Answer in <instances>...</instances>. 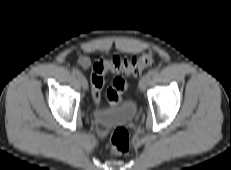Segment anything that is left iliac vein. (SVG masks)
<instances>
[{
  "label": "left iliac vein",
  "mask_w": 231,
  "mask_h": 170,
  "mask_svg": "<svg viewBox=\"0 0 231 170\" xmlns=\"http://www.w3.org/2000/svg\"><path fill=\"white\" fill-rule=\"evenodd\" d=\"M150 81H151V76L149 74L144 75L139 82L140 90L145 91Z\"/></svg>",
  "instance_id": "obj_1"
}]
</instances>
